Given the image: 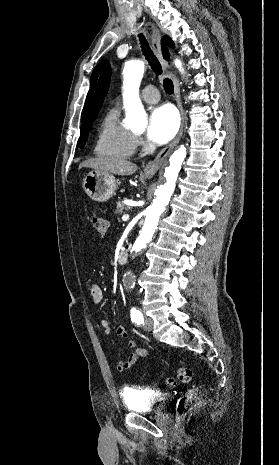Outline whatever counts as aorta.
<instances>
[{
  "mask_svg": "<svg viewBox=\"0 0 279 465\" xmlns=\"http://www.w3.org/2000/svg\"><path fill=\"white\" fill-rule=\"evenodd\" d=\"M174 63L180 72L183 73L184 69L182 68L181 61L176 59ZM143 74L144 63L142 61H132L125 64L123 70V102L126 118L131 127L136 129H144L147 121L146 113L139 98V88ZM186 154V148L182 145L171 155L169 159L170 164L165 168L164 173L166 183L159 186L157 197L147 210L145 223L132 247L133 252H139L151 241L159 218L165 211L174 192L176 179Z\"/></svg>",
  "mask_w": 279,
  "mask_h": 465,
  "instance_id": "1",
  "label": "aorta"
}]
</instances>
